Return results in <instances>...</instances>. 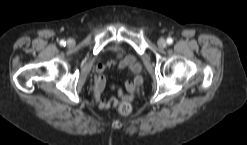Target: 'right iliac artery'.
<instances>
[{
    "mask_svg": "<svg viewBox=\"0 0 247 145\" xmlns=\"http://www.w3.org/2000/svg\"><path fill=\"white\" fill-rule=\"evenodd\" d=\"M60 45H61V46H65V45H66V42H65L64 40H61V41H60Z\"/></svg>",
    "mask_w": 247,
    "mask_h": 145,
    "instance_id": "1",
    "label": "right iliac artery"
}]
</instances>
